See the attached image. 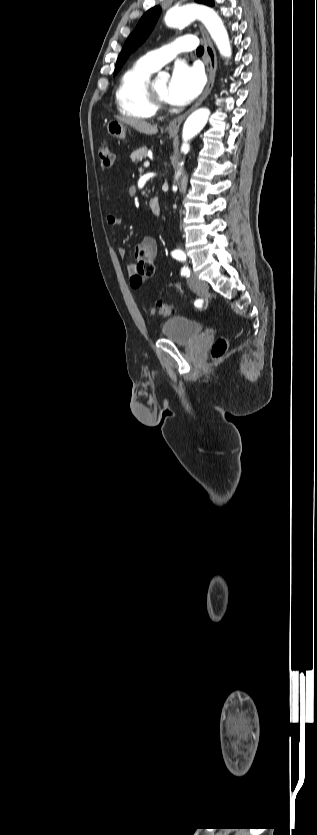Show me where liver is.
I'll return each mask as SVG.
<instances>
[{
	"label": "liver",
	"mask_w": 317,
	"mask_h": 835,
	"mask_svg": "<svg viewBox=\"0 0 317 835\" xmlns=\"http://www.w3.org/2000/svg\"><path fill=\"white\" fill-rule=\"evenodd\" d=\"M120 121H123V122H125L126 124H129V125H130L131 127H133L136 131H138V132H140V133H142V134H146V135H154V134H156V133L158 132V128H157V126H156V125H152V124H150V123H148V122H146V121H143V120H136V119H122V118H120Z\"/></svg>",
	"instance_id": "1"
}]
</instances>
